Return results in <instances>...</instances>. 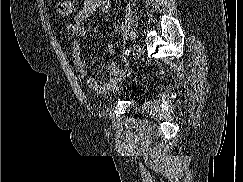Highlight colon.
<instances>
[{
    "label": "colon",
    "instance_id": "obj_1",
    "mask_svg": "<svg viewBox=\"0 0 243 182\" xmlns=\"http://www.w3.org/2000/svg\"><path fill=\"white\" fill-rule=\"evenodd\" d=\"M58 13L61 16H69L74 11V4L72 0H65L58 4L57 6Z\"/></svg>",
    "mask_w": 243,
    "mask_h": 182
}]
</instances>
